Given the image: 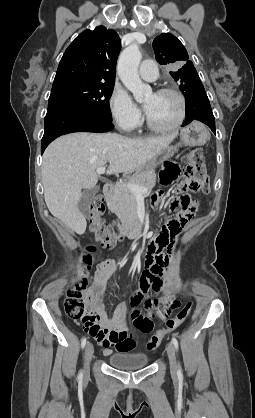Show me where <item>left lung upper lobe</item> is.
<instances>
[{"label":"left lung upper lobe","instance_id":"left-lung-upper-lobe-1","mask_svg":"<svg viewBox=\"0 0 255 418\" xmlns=\"http://www.w3.org/2000/svg\"><path fill=\"white\" fill-rule=\"evenodd\" d=\"M155 58L159 64L172 65L170 75L186 97L204 90L203 84L182 43L172 34L163 33L153 40Z\"/></svg>","mask_w":255,"mask_h":418}]
</instances>
